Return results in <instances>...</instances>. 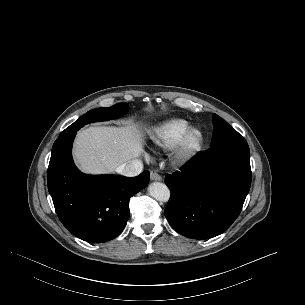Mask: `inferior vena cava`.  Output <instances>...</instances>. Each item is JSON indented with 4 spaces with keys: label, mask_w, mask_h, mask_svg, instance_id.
I'll use <instances>...</instances> for the list:
<instances>
[{
    "label": "inferior vena cava",
    "mask_w": 305,
    "mask_h": 305,
    "mask_svg": "<svg viewBox=\"0 0 305 305\" xmlns=\"http://www.w3.org/2000/svg\"><path fill=\"white\" fill-rule=\"evenodd\" d=\"M143 170V163L139 159H133L119 165L115 171L123 176L133 177L139 175Z\"/></svg>",
    "instance_id": "1"
}]
</instances>
